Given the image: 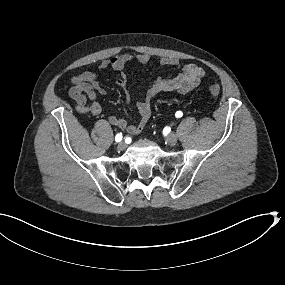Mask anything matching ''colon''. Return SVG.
I'll return each instance as SVG.
<instances>
[{
  "label": "colon",
  "mask_w": 285,
  "mask_h": 285,
  "mask_svg": "<svg viewBox=\"0 0 285 285\" xmlns=\"http://www.w3.org/2000/svg\"><path fill=\"white\" fill-rule=\"evenodd\" d=\"M209 91L212 96L217 97L220 95L221 88L218 84L213 83L209 85ZM79 111L86 113L89 112L90 110L87 105H79Z\"/></svg>",
  "instance_id": "obj_1"
}]
</instances>
